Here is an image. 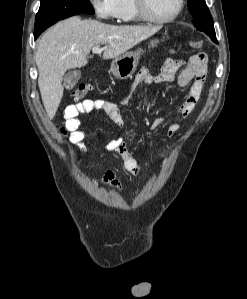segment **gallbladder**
<instances>
[{
  "mask_svg": "<svg viewBox=\"0 0 247 299\" xmlns=\"http://www.w3.org/2000/svg\"><path fill=\"white\" fill-rule=\"evenodd\" d=\"M81 77V73L79 71H69L64 76V86L66 89L71 90Z\"/></svg>",
  "mask_w": 247,
  "mask_h": 299,
  "instance_id": "obj_1",
  "label": "gallbladder"
}]
</instances>
